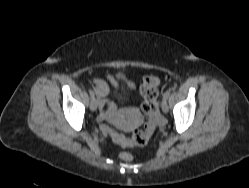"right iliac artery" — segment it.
<instances>
[{
  "instance_id": "right-iliac-artery-1",
  "label": "right iliac artery",
  "mask_w": 249,
  "mask_h": 188,
  "mask_svg": "<svg viewBox=\"0 0 249 188\" xmlns=\"http://www.w3.org/2000/svg\"><path fill=\"white\" fill-rule=\"evenodd\" d=\"M89 93H90L91 97H94V93H93L92 89H89Z\"/></svg>"
}]
</instances>
